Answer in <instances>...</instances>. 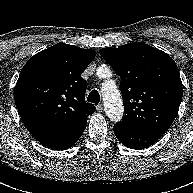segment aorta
Returning a JSON list of instances; mask_svg holds the SVG:
<instances>
[{"label": "aorta", "instance_id": "1", "mask_svg": "<svg viewBox=\"0 0 193 193\" xmlns=\"http://www.w3.org/2000/svg\"><path fill=\"white\" fill-rule=\"evenodd\" d=\"M105 111L111 121H120L124 108L121 95L113 82L104 83L102 88Z\"/></svg>", "mask_w": 193, "mask_h": 193}]
</instances>
